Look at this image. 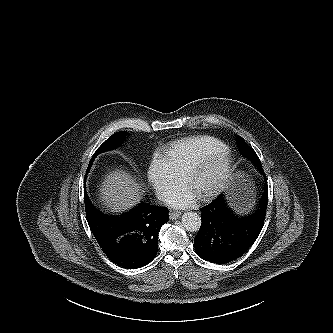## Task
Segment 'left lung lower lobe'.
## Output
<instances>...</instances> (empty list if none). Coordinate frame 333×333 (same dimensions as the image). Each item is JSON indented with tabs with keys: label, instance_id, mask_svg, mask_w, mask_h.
Segmentation results:
<instances>
[{
	"label": "left lung lower lobe",
	"instance_id": "left-lung-lower-lobe-1",
	"mask_svg": "<svg viewBox=\"0 0 333 333\" xmlns=\"http://www.w3.org/2000/svg\"><path fill=\"white\" fill-rule=\"evenodd\" d=\"M265 184L258 207L252 214L236 213L223 194L200 209L202 224L194 239L200 258L225 264L241 257L253 245L266 216L268 188Z\"/></svg>",
	"mask_w": 333,
	"mask_h": 333
}]
</instances>
